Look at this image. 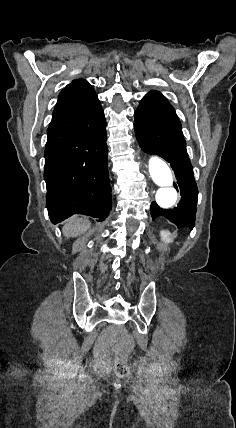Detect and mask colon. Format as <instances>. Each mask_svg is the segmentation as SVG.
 I'll list each match as a JSON object with an SVG mask.
<instances>
[{
	"label": "colon",
	"instance_id": "1",
	"mask_svg": "<svg viewBox=\"0 0 236 428\" xmlns=\"http://www.w3.org/2000/svg\"><path fill=\"white\" fill-rule=\"evenodd\" d=\"M135 348V340L131 335L124 336L122 340V349L119 353L115 364L114 371L118 377H126L129 373L127 357Z\"/></svg>",
	"mask_w": 236,
	"mask_h": 428
}]
</instances>
